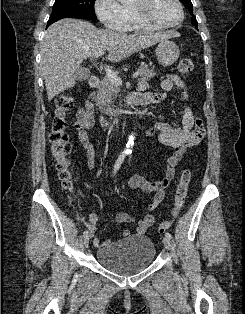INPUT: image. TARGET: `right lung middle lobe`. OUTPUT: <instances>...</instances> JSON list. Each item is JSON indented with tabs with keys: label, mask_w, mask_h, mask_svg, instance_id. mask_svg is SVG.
<instances>
[{
	"label": "right lung middle lobe",
	"mask_w": 245,
	"mask_h": 314,
	"mask_svg": "<svg viewBox=\"0 0 245 314\" xmlns=\"http://www.w3.org/2000/svg\"><path fill=\"white\" fill-rule=\"evenodd\" d=\"M95 0H55L49 20L81 17L96 19Z\"/></svg>",
	"instance_id": "dd1d6c3e"
}]
</instances>
